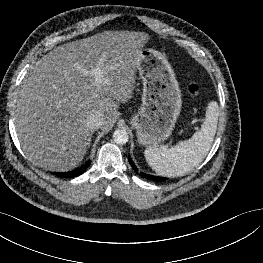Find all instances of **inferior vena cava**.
Returning <instances> with one entry per match:
<instances>
[{
  "label": "inferior vena cava",
  "mask_w": 263,
  "mask_h": 263,
  "mask_svg": "<svg viewBox=\"0 0 263 263\" xmlns=\"http://www.w3.org/2000/svg\"><path fill=\"white\" fill-rule=\"evenodd\" d=\"M103 124L102 114L99 112L92 113L87 117V128L90 130H96L100 128Z\"/></svg>",
  "instance_id": "inferior-vena-cava-1"
}]
</instances>
